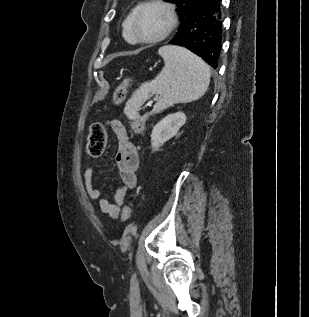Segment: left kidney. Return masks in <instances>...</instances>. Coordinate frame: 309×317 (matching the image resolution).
<instances>
[{"label": "left kidney", "mask_w": 309, "mask_h": 317, "mask_svg": "<svg viewBox=\"0 0 309 317\" xmlns=\"http://www.w3.org/2000/svg\"><path fill=\"white\" fill-rule=\"evenodd\" d=\"M186 119L187 117L183 112H176L160 120L154 126L151 133V146L153 150L158 151L160 146L176 136L179 129L185 124Z\"/></svg>", "instance_id": "5707ae66"}]
</instances>
